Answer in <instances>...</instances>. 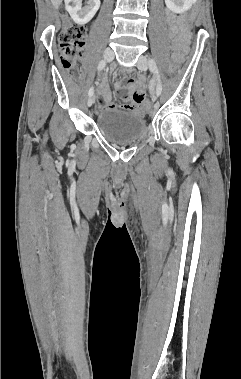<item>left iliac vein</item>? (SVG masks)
<instances>
[{"instance_id": "1", "label": "left iliac vein", "mask_w": 241, "mask_h": 379, "mask_svg": "<svg viewBox=\"0 0 241 379\" xmlns=\"http://www.w3.org/2000/svg\"><path fill=\"white\" fill-rule=\"evenodd\" d=\"M148 64H149V62H148L147 57L144 55H141L138 59V62H137L138 69L141 71H145L148 68ZM157 97H158L157 93H152L151 98H152L153 102H155L157 100Z\"/></svg>"}]
</instances>
